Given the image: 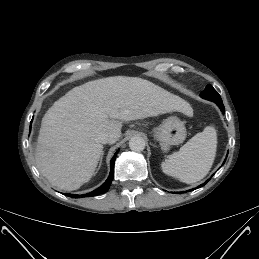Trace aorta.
<instances>
[{
    "label": "aorta",
    "instance_id": "aorta-1",
    "mask_svg": "<svg viewBox=\"0 0 259 259\" xmlns=\"http://www.w3.org/2000/svg\"><path fill=\"white\" fill-rule=\"evenodd\" d=\"M129 148L132 151L140 152L145 149V140L141 136H133L129 140Z\"/></svg>",
    "mask_w": 259,
    "mask_h": 259
}]
</instances>
